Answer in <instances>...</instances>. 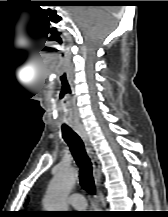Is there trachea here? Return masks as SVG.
I'll return each mask as SVG.
<instances>
[{
  "label": "trachea",
  "instance_id": "trachea-1",
  "mask_svg": "<svg viewBox=\"0 0 168 217\" xmlns=\"http://www.w3.org/2000/svg\"><path fill=\"white\" fill-rule=\"evenodd\" d=\"M62 135L68 144L71 153L80 167L79 180L81 187L88 193L95 194V183L92 173V165L85 151L82 139L68 126L62 127Z\"/></svg>",
  "mask_w": 168,
  "mask_h": 217
}]
</instances>
